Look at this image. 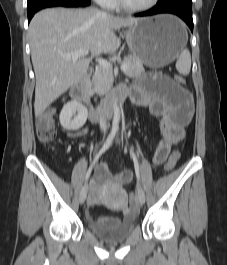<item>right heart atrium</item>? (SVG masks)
Returning <instances> with one entry per match:
<instances>
[{
    "label": "right heart atrium",
    "mask_w": 227,
    "mask_h": 265,
    "mask_svg": "<svg viewBox=\"0 0 227 265\" xmlns=\"http://www.w3.org/2000/svg\"><path fill=\"white\" fill-rule=\"evenodd\" d=\"M100 6L105 8H112L115 4V0H95Z\"/></svg>",
    "instance_id": "right-heart-atrium-1"
}]
</instances>
